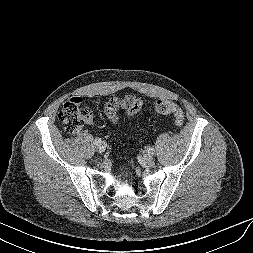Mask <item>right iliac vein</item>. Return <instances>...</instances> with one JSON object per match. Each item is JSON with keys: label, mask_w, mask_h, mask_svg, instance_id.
<instances>
[{"label": "right iliac vein", "mask_w": 253, "mask_h": 253, "mask_svg": "<svg viewBox=\"0 0 253 253\" xmlns=\"http://www.w3.org/2000/svg\"><path fill=\"white\" fill-rule=\"evenodd\" d=\"M96 149L99 153H103L106 149V144L105 143L97 144Z\"/></svg>", "instance_id": "1"}]
</instances>
